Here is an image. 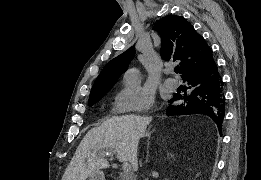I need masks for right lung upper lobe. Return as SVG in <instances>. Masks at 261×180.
<instances>
[{"label": "right lung upper lobe", "mask_w": 261, "mask_h": 180, "mask_svg": "<svg viewBox=\"0 0 261 180\" xmlns=\"http://www.w3.org/2000/svg\"><path fill=\"white\" fill-rule=\"evenodd\" d=\"M154 30L161 36L162 58L167 61L179 60L182 76L192 69L213 61L211 48L184 17L166 16L154 26ZM134 55L135 49L132 46L109 61L96 79L89 99L107 93L119 76L127 69Z\"/></svg>", "instance_id": "obj_1"}]
</instances>
